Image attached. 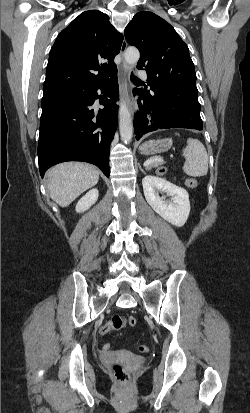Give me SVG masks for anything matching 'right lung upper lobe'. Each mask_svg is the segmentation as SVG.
I'll list each match as a JSON object with an SVG mask.
<instances>
[{
  "label": "right lung upper lobe",
  "mask_w": 250,
  "mask_h": 413,
  "mask_svg": "<svg viewBox=\"0 0 250 413\" xmlns=\"http://www.w3.org/2000/svg\"><path fill=\"white\" fill-rule=\"evenodd\" d=\"M123 35L108 15L85 11L57 36L46 68L43 96H53L93 87L117 70L114 57Z\"/></svg>",
  "instance_id": "obj_1"
}]
</instances>
